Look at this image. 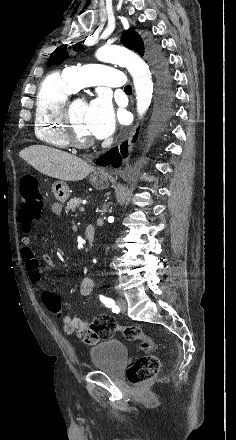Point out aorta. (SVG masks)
I'll return each instance as SVG.
<instances>
[{
	"label": "aorta",
	"instance_id": "762f6f07",
	"mask_svg": "<svg viewBox=\"0 0 236 440\" xmlns=\"http://www.w3.org/2000/svg\"><path fill=\"white\" fill-rule=\"evenodd\" d=\"M99 61L119 64L127 68L134 82L137 112L139 116L147 111L153 95V82L148 65L134 52L118 45H105L96 52Z\"/></svg>",
	"mask_w": 236,
	"mask_h": 440
}]
</instances>
